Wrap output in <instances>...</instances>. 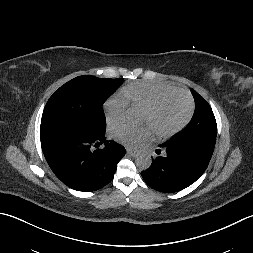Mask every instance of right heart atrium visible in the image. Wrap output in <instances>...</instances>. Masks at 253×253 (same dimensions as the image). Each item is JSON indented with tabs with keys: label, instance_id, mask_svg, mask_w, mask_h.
<instances>
[{
	"label": "right heart atrium",
	"instance_id": "right-heart-atrium-1",
	"mask_svg": "<svg viewBox=\"0 0 253 253\" xmlns=\"http://www.w3.org/2000/svg\"><path fill=\"white\" fill-rule=\"evenodd\" d=\"M128 107L129 103L121 94L108 98L104 103L107 124L109 126L121 124L125 119Z\"/></svg>",
	"mask_w": 253,
	"mask_h": 253
}]
</instances>
